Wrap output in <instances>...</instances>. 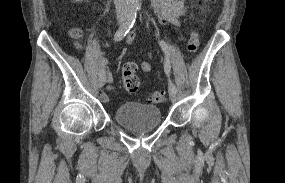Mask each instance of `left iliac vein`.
<instances>
[{"mask_svg":"<svg viewBox=\"0 0 285 183\" xmlns=\"http://www.w3.org/2000/svg\"><path fill=\"white\" fill-rule=\"evenodd\" d=\"M169 95H170L171 101L173 103L176 102V100H177V92L172 90V89H169Z\"/></svg>","mask_w":285,"mask_h":183,"instance_id":"left-iliac-vein-1","label":"left iliac vein"}]
</instances>
